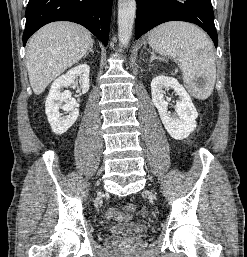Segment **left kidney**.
I'll use <instances>...</instances> for the list:
<instances>
[{"label": "left kidney", "instance_id": "left-kidney-1", "mask_svg": "<svg viewBox=\"0 0 247 257\" xmlns=\"http://www.w3.org/2000/svg\"><path fill=\"white\" fill-rule=\"evenodd\" d=\"M171 88L180 100L174 105L175 116L168 112V102L164 98V89ZM152 101L157 108L161 121L169 133L176 139L187 138L196 128L198 113L185 88L173 77L157 76L151 82Z\"/></svg>", "mask_w": 247, "mask_h": 257}]
</instances>
